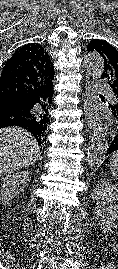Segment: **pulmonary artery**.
Wrapping results in <instances>:
<instances>
[{"label":"pulmonary artery","instance_id":"obj_1","mask_svg":"<svg viewBox=\"0 0 118 269\" xmlns=\"http://www.w3.org/2000/svg\"><path fill=\"white\" fill-rule=\"evenodd\" d=\"M97 86H98L99 88H108V87H109L108 84L105 83L104 81H99V82L97 83ZM109 97H110L113 101H116V97H115V95H114L113 93H109Z\"/></svg>","mask_w":118,"mask_h":269}]
</instances>
